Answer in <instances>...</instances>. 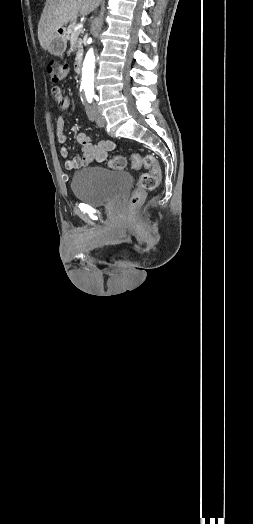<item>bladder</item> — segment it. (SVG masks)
Segmentation results:
<instances>
[{
	"instance_id": "1",
	"label": "bladder",
	"mask_w": 253,
	"mask_h": 524,
	"mask_svg": "<svg viewBox=\"0 0 253 524\" xmlns=\"http://www.w3.org/2000/svg\"><path fill=\"white\" fill-rule=\"evenodd\" d=\"M131 184L132 178L125 171L93 166L75 172L71 187L77 200L90 206H104L120 197Z\"/></svg>"
}]
</instances>
